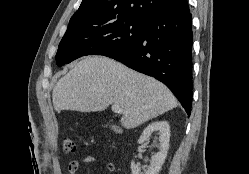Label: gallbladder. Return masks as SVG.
Instances as JSON below:
<instances>
[{
  "label": "gallbladder",
  "instance_id": "obj_1",
  "mask_svg": "<svg viewBox=\"0 0 249 174\" xmlns=\"http://www.w3.org/2000/svg\"><path fill=\"white\" fill-rule=\"evenodd\" d=\"M111 128L114 130H118V127L116 125H111Z\"/></svg>",
  "mask_w": 249,
  "mask_h": 174
}]
</instances>
